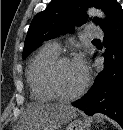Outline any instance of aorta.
Returning <instances> with one entry per match:
<instances>
[{
  "label": "aorta",
  "mask_w": 123,
  "mask_h": 130,
  "mask_svg": "<svg viewBox=\"0 0 123 130\" xmlns=\"http://www.w3.org/2000/svg\"><path fill=\"white\" fill-rule=\"evenodd\" d=\"M87 14L92 17L96 16L98 18L106 19L104 12L100 9L90 8L88 9Z\"/></svg>",
  "instance_id": "obj_1"
}]
</instances>
